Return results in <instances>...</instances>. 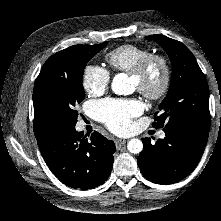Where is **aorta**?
Wrapping results in <instances>:
<instances>
[{"label":"aorta","instance_id":"1","mask_svg":"<svg viewBox=\"0 0 221 221\" xmlns=\"http://www.w3.org/2000/svg\"><path fill=\"white\" fill-rule=\"evenodd\" d=\"M111 88L117 95H128L133 92V86L124 73L117 74L113 78ZM127 149L130 153L138 154L143 150V143L141 140L133 138L127 143Z\"/></svg>","mask_w":221,"mask_h":221}]
</instances>
